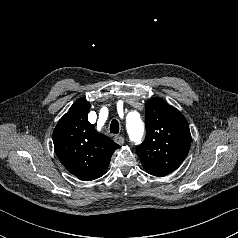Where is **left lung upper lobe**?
<instances>
[{"instance_id": "1", "label": "left lung upper lobe", "mask_w": 238, "mask_h": 238, "mask_svg": "<svg viewBox=\"0 0 238 238\" xmlns=\"http://www.w3.org/2000/svg\"><path fill=\"white\" fill-rule=\"evenodd\" d=\"M146 138L136 153L147 173L166 176L176 170L191 145L188 122L183 114L163 99L153 98L145 104Z\"/></svg>"}]
</instances>
